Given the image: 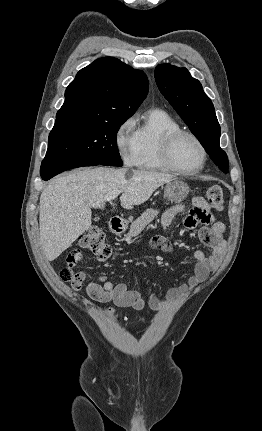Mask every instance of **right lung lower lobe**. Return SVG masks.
<instances>
[{
	"label": "right lung lower lobe",
	"mask_w": 262,
	"mask_h": 431,
	"mask_svg": "<svg viewBox=\"0 0 262 431\" xmlns=\"http://www.w3.org/2000/svg\"><path fill=\"white\" fill-rule=\"evenodd\" d=\"M95 165L100 164L81 160H43L40 175L44 180H49L55 175L72 168Z\"/></svg>",
	"instance_id": "right-lung-lower-lobe-1"
}]
</instances>
